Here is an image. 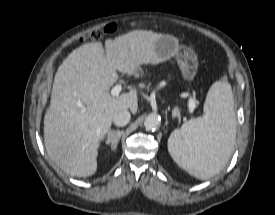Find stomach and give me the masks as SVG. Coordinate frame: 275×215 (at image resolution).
<instances>
[{"label":"stomach","instance_id":"1","mask_svg":"<svg viewBox=\"0 0 275 215\" xmlns=\"http://www.w3.org/2000/svg\"><path fill=\"white\" fill-rule=\"evenodd\" d=\"M155 52L161 61L175 57L185 80L192 81L195 78L198 69L197 56L191 48L181 46L175 37H159L155 43Z\"/></svg>","mask_w":275,"mask_h":215}]
</instances>
